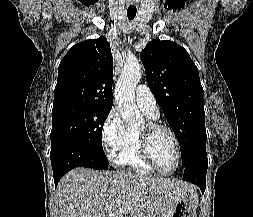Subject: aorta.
I'll list each match as a JSON object with an SVG mask.
<instances>
[{
  "mask_svg": "<svg viewBox=\"0 0 253 217\" xmlns=\"http://www.w3.org/2000/svg\"><path fill=\"white\" fill-rule=\"evenodd\" d=\"M142 74L143 69L138 62H126L115 87V100L121 117L128 126H136L143 121L135 103V87Z\"/></svg>",
  "mask_w": 253,
  "mask_h": 217,
  "instance_id": "762f6f07",
  "label": "aorta"
}]
</instances>
